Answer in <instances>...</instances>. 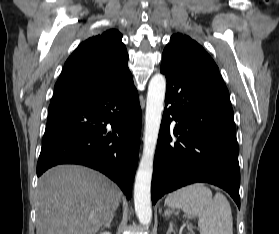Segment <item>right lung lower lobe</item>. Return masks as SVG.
I'll return each mask as SVG.
<instances>
[{"instance_id":"1","label":"right lung lower lobe","mask_w":279,"mask_h":234,"mask_svg":"<svg viewBox=\"0 0 279 234\" xmlns=\"http://www.w3.org/2000/svg\"><path fill=\"white\" fill-rule=\"evenodd\" d=\"M140 129L131 74L101 92L50 106L37 176L58 164H81L107 175L130 199Z\"/></svg>"}]
</instances>
